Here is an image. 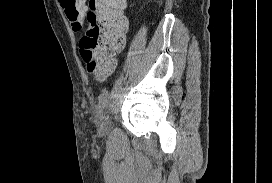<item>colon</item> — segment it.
Returning a JSON list of instances; mask_svg holds the SVG:
<instances>
[{
    "instance_id": "5ec220e1",
    "label": "colon",
    "mask_w": 272,
    "mask_h": 183,
    "mask_svg": "<svg viewBox=\"0 0 272 183\" xmlns=\"http://www.w3.org/2000/svg\"><path fill=\"white\" fill-rule=\"evenodd\" d=\"M75 30L85 27L80 54L89 72L108 75L123 49L128 20L126 0H59Z\"/></svg>"
}]
</instances>
